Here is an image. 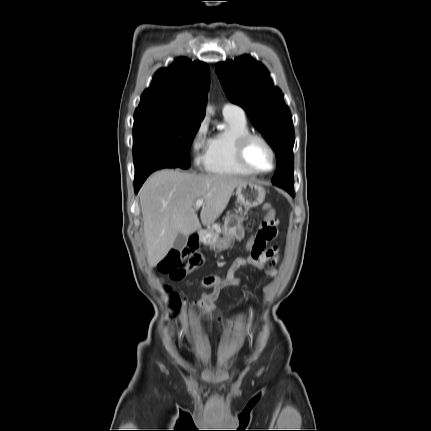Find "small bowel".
I'll use <instances>...</instances> for the list:
<instances>
[{
	"mask_svg": "<svg viewBox=\"0 0 431 431\" xmlns=\"http://www.w3.org/2000/svg\"><path fill=\"white\" fill-rule=\"evenodd\" d=\"M277 220H274L269 224V232L267 234H259L262 229L260 224L258 231L255 235L256 240L254 241V249L248 253L245 257L236 259L229 267L227 273L222 276L221 273L213 272L211 276L206 277L200 284L201 289L213 287L212 291L205 292L201 298L196 300L194 304L199 308L203 309L207 315L208 320L216 322L220 329L225 330L226 328H235L244 333V338L254 339L253 332L255 330L254 325L245 324L237 320H231L224 318L218 312L215 301L219 297L221 291L227 287L237 286L239 279L236 277V272L244 266L250 265L259 270L264 271L268 275H274L275 271L269 262L274 263L278 257V247L270 246L267 247V243L274 239L277 235L276 226ZM186 334V329L181 326L172 327L169 330V337H177L178 340H182Z\"/></svg>",
	"mask_w": 431,
	"mask_h": 431,
	"instance_id": "c3829d8e",
	"label": "small bowel"
}]
</instances>
